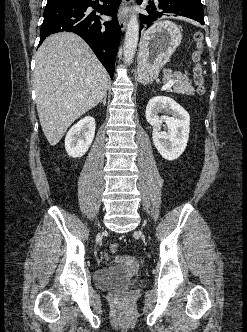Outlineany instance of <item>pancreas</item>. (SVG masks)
Instances as JSON below:
<instances>
[{"label": "pancreas", "mask_w": 247, "mask_h": 332, "mask_svg": "<svg viewBox=\"0 0 247 332\" xmlns=\"http://www.w3.org/2000/svg\"><path fill=\"white\" fill-rule=\"evenodd\" d=\"M170 79L174 80L173 89H169L170 92L178 94H186V95L194 94V88L189 82V78L187 75L182 74L180 72H174V73H168L164 76L165 81H168Z\"/></svg>", "instance_id": "pancreas-1"}]
</instances>
